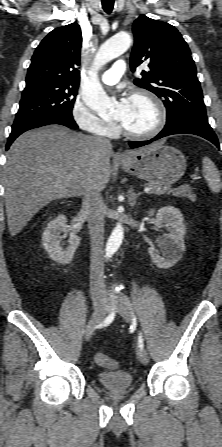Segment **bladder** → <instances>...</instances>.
Instances as JSON below:
<instances>
[{
    "instance_id": "obj_1",
    "label": "bladder",
    "mask_w": 222,
    "mask_h": 447,
    "mask_svg": "<svg viewBox=\"0 0 222 447\" xmlns=\"http://www.w3.org/2000/svg\"><path fill=\"white\" fill-rule=\"evenodd\" d=\"M96 378L104 389L112 392L127 390L134 382L132 374L126 370L100 372Z\"/></svg>"
}]
</instances>
